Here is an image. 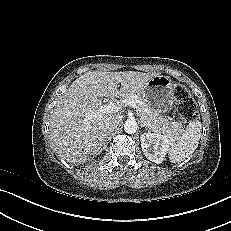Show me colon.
I'll return each mask as SVG.
<instances>
[{"instance_id":"colon-1","label":"colon","mask_w":231,"mask_h":231,"mask_svg":"<svg viewBox=\"0 0 231 231\" xmlns=\"http://www.w3.org/2000/svg\"><path fill=\"white\" fill-rule=\"evenodd\" d=\"M173 96L181 119L186 123L195 120L198 116V110L189 90L185 86L177 84L174 86Z\"/></svg>"}]
</instances>
